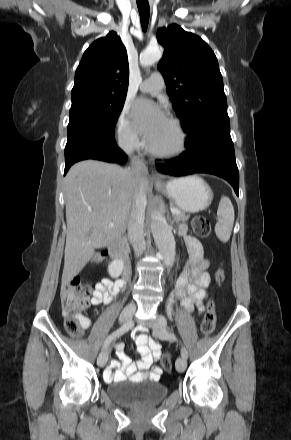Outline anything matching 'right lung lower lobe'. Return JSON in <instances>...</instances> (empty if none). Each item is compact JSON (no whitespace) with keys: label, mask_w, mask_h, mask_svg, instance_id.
Here are the masks:
<instances>
[{"label":"right lung lower lobe","mask_w":291,"mask_h":440,"mask_svg":"<svg viewBox=\"0 0 291 440\" xmlns=\"http://www.w3.org/2000/svg\"><path fill=\"white\" fill-rule=\"evenodd\" d=\"M86 159L124 165L127 161V156L118 148L114 137H102L84 133L68 136L65 147L64 175L74 163Z\"/></svg>","instance_id":"obj_1"}]
</instances>
